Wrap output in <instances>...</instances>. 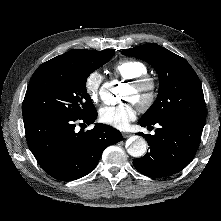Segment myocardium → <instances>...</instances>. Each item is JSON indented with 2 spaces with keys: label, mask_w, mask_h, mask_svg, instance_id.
Listing matches in <instances>:
<instances>
[{
  "label": "myocardium",
  "mask_w": 221,
  "mask_h": 221,
  "mask_svg": "<svg viewBox=\"0 0 221 221\" xmlns=\"http://www.w3.org/2000/svg\"><path fill=\"white\" fill-rule=\"evenodd\" d=\"M129 85L139 93V98L136 102L138 107L143 111L148 110L154 104L158 95L156 79L146 74L130 80Z\"/></svg>",
  "instance_id": "1"
}]
</instances>
